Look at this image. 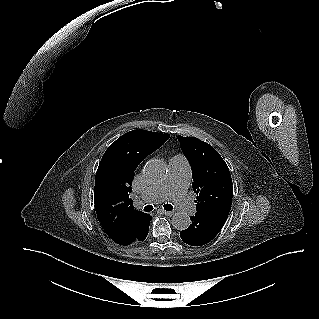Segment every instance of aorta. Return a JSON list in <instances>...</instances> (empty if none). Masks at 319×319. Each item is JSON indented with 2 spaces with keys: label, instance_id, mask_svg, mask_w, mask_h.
Returning a JSON list of instances; mask_svg holds the SVG:
<instances>
[{
  "label": "aorta",
  "instance_id": "762f6f07",
  "mask_svg": "<svg viewBox=\"0 0 319 319\" xmlns=\"http://www.w3.org/2000/svg\"><path fill=\"white\" fill-rule=\"evenodd\" d=\"M145 177L152 181L158 182L167 174L166 164L159 159H151L144 166ZM191 220L187 213L177 212L172 216V225L178 230H185L190 226Z\"/></svg>",
  "mask_w": 319,
  "mask_h": 319
}]
</instances>
